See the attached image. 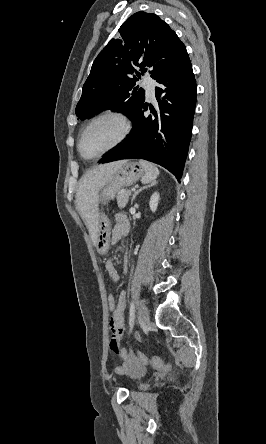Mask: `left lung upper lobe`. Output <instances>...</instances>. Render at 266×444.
I'll use <instances>...</instances> for the list:
<instances>
[{
    "label": "left lung upper lobe",
    "instance_id": "1",
    "mask_svg": "<svg viewBox=\"0 0 266 444\" xmlns=\"http://www.w3.org/2000/svg\"><path fill=\"white\" fill-rule=\"evenodd\" d=\"M119 33L120 38L112 39L93 62L75 109L81 120L106 109L122 112L132 120L145 100L144 89L135 87V82L148 67L156 80L187 52L176 33L153 13L133 14Z\"/></svg>",
    "mask_w": 266,
    "mask_h": 444
}]
</instances>
